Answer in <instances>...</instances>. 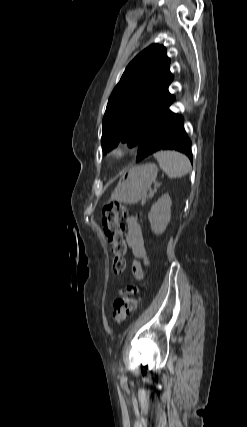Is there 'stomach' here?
Masks as SVG:
<instances>
[{
	"label": "stomach",
	"instance_id": "1",
	"mask_svg": "<svg viewBox=\"0 0 247 427\" xmlns=\"http://www.w3.org/2000/svg\"><path fill=\"white\" fill-rule=\"evenodd\" d=\"M155 164L147 163L125 170L112 192L110 200L126 204H136L146 198L151 184L157 176Z\"/></svg>",
	"mask_w": 247,
	"mask_h": 427
}]
</instances>
